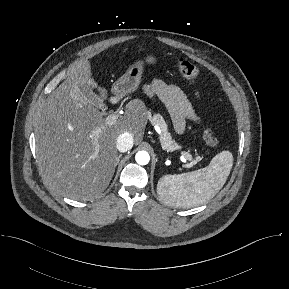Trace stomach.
<instances>
[{"label": "stomach", "instance_id": "0dacf381", "mask_svg": "<svg viewBox=\"0 0 289 289\" xmlns=\"http://www.w3.org/2000/svg\"><path fill=\"white\" fill-rule=\"evenodd\" d=\"M158 58L153 54H147L144 59L138 60L129 66L112 86V92L119 97H123L138 88L141 83L142 74L146 65H156Z\"/></svg>", "mask_w": 289, "mask_h": 289}]
</instances>
